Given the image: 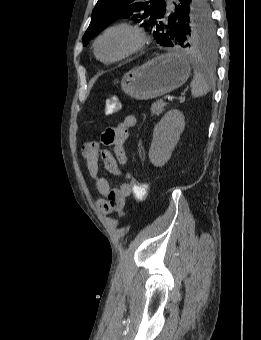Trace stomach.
I'll list each match as a JSON object with an SVG mask.
<instances>
[{
	"instance_id": "0dacf381",
	"label": "stomach",
	"mask_w": 261,
	"mask_h": 340,
	"mask_svg": "<svg viewBox=\"0 0 261 340\" xmlns=\"http://www.w3.org/2000/svg\"><path fill=\"white\" fill-rule=\"evenodd\" d=\"M190 73L186 58L167 53L127 72L121 80V89L136 100L154 99L182 86Z\"/></svg>"
}]
</instances>
